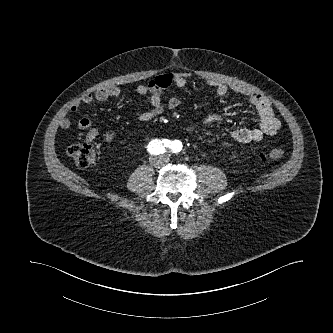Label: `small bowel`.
Here are the masks:
<instances>
[{
  "instance_id": "small-bowel-1",
  "label": "small bowel",
  "mask_w": 333,
  "mask_h": 333,
  "mask_svg": "<svg viewBox=\"0 0 333 333\" xmlns=\"http://www.w3.org/2000/svg\"><path fill=\"white\" fill-rule=\"evenodd\" d=\"M187 79L185 74L169 72L156 76L147 85H138L136 92L141 96H148L149 106L139 115V120L148 122L160 115L164 111L163 92L170 87L182 89L186 86ZM207 84L214 88L219 97L225 96L229 91V86L214 80H208ZM233 90L248 99L250 104L256 110L259 125L256 128L240 127L233 130L230 134L231 138L239 143H249L261 141L265 136H273L277 134L281 128V123L276 117L271 105L267 99L260 93L248 90L242 86H235ZM122 90L119 87H107L97 90L94 94H85L75 101L69 108L71 113H77L83 107L91 104L94 100L105 102L109 99L121 96ZM179 100L176 97H170L167 100V107L174 109L178 107ZM221 120V115L216 112H210L202 120L203 124H209ZM59 125L63 129L70 127L71 122L67 117L59 120ZM78 127L83 130H89L86 137L96 135V130L92 128V121L87 117L79 119ZM195 125L189 126L188 130H192Z\"/></svg>"
}]
</instances>
